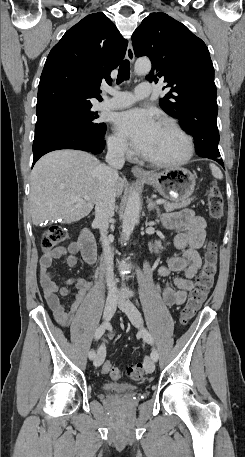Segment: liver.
Wrapping results in <instances>:
<instances>
[{"label": "liver", "instance_id": "1", "mask_svg": "<svg viewBox=\"0 0 245 457\" xmlns=\"http://www.w3.org/2000/svg\"><path fill=\"white\" fill-rule=\"evenodd\" d=\"M99 166L96 156L84 150H53L37 160L31 172L30 210L33 224L62 218L75 222L91 212L99 192ZM124 180L117 178L115 194L123 192ZM83 198L84 204L72 202Z\"/></svg>", "mask_w": 245, "mask_h": 457}]
</instances>
